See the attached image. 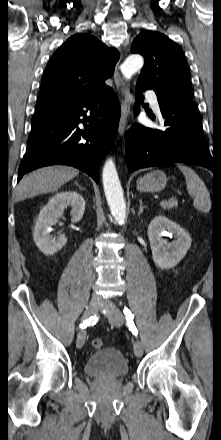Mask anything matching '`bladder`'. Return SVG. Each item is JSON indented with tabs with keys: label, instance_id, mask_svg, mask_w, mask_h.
I'll use <instances>...</instances> for the list:
<instances>
[{
	"label": "bladder",
	"instance_id": "obj_1",
	"mask_svg": "<svg viewBox=\"0 0 221 440\" xmlns=\"http://www.w3.org/2000/svg\"><path fill=\"white\" fill-rule=\"evenodd\" d=\"M84 371L90 377L118 379L128 373V364L118 349L107 348L90 356L84 364Z\"/></svg>",
	"mask_w": 221,
	"mask_h": 440
}]
</instances>
